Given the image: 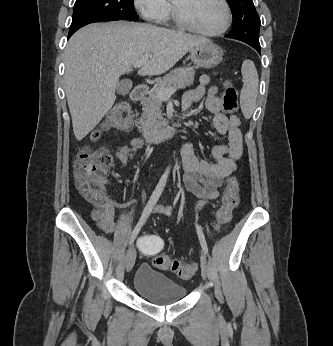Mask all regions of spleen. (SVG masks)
<instances>
[{
	"instance_id": "3e777b00",
	"label": "spleen",
	"mask_w": 333,
	"mask_h": 346,
	"mask_svg": "<svg viewBox=\"0 0 333 346\" xmlns=\"http://www.w3.org/2000/svg\"><path fill=\"white\" fill-rule=\"evenodd\" d=\"M243 88L240 94L241 110L246 118H250L254 112L259 78L254 63L245 60L242 64Z\"/></svg>"
}]
</instances>
